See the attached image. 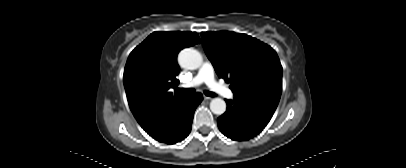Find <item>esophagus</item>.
<instances>
[{"instance_id": "1", "label": "esophagus", "mask_w": 406, "mask_h": 168, "mask_svg": "<svg viewBox=\"0 0 406 168\" xmlns=\"http://www.w3.org/2000/svg\"><path fill=\"white\" fill-rule=\"evenodd\" d=\"M204 99H205V100H211L212 98H211V97H208V96H204Z\"/></svg>"}]
</instances>
